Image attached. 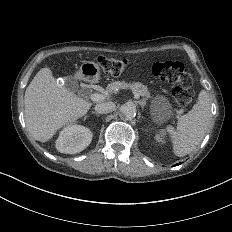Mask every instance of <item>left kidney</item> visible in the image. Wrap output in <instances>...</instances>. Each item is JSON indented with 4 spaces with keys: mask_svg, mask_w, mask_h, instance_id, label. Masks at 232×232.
Here are the masks:
<instances>
[{
    "mask_svg": "<svg viewBox=\"0 0 232 232\" xmlns=\"http://www.w3.org/2000/svg\"><path fill=\"white\" fill-rule=\"evenodd\" d=\"M156 122H157V121H156ZM164 135H165V132L162 130V131L160 132V134H156V135H155V140H156L157 142H162V143H164V139H163Z\"/></svg>",
    "mask_w": 232,
    "mask_h": 232,
    "instance_id": "left-kidney-1",
    "label": "left kidney"
}]
</instances>
